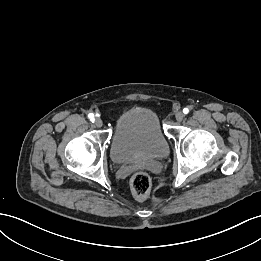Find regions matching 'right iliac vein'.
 <instances>
[{"mask_svg": "<svg viewBox=\"0 0 261 261\" xmlns=\"http://www.w3.org/2000/svg\"><path fill=\"white\" fill-rule=\"evenodd\" d=\"M102 125H103L102 120H101V119H96V121H95V126L98 127V128H100V127H102Z\"/></svg>", "mask_w": 261, "mask_h": 261, "instance_id": "63e3f726", "label": "right iliac vein"}]
</instances>
